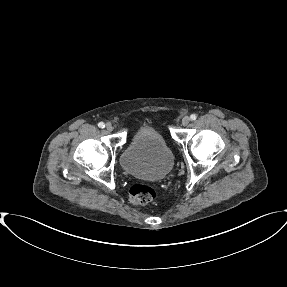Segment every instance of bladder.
<instances>
[{
  "mask_svg": "<svg viewBox=\"0 0 287 287\" xmlns=\"http://www.w3.org/2000/svg\"><path fill=\"white\" fill-rule=\"evenodd\" d=\"M123 169L136 177L160 180L174 165V156L164 138L153 128L141 127L121 154Z\"/></svg>",
  "mask_w": 287,
  "mask_h": 287,
  "instance_id": "1",
  "label": "bladder"
}]
</instances>
